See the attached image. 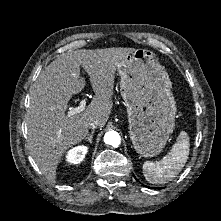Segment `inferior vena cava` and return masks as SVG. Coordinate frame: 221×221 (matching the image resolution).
I'll return each mask as SVG.
<instances>
[{"label":"inferior vena cava","instance_id":"inferior-vena-cava-1","mask_svg":"<svg viewBox=\"0 0 221 221\" xmlns=\"http://www.w3.org/2000/svg\"><path fill=\"white\" fill-rule=\"evenodd\" d=\"M90 128L95 129L96 127H98L100 125V121L99 120H93L92 122H90Z\"/></svg>","mask_w":221,"mask_h":221}]
</instances>
